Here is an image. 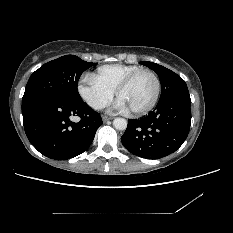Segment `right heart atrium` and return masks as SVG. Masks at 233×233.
Returning a JSON list of instances; mask_svg holds the SVG:
<instances>
[{"mask_svg": "<svg viewBox=\"0 0 233 233\" xmlns=\"http://www.w3.org/2000/svg\"><path fill=\"white\" fill-rule=\"evenodd\" d=\"M77 90L83 101L97 111L103 109L113 98V92L90 77L83 78L78 84Z\"/></svg>", "mask_w": 233, "mask_h": 233, "instance_id": "d8ad5b80", "label": "right heart atrium"}]
</instances>
